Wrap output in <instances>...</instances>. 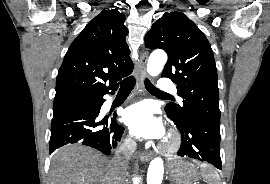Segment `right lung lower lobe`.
Returning <instances> with one entry per match:
<instances>
[{"label": "right lung lower lobe", "mask_w": 270, "mask_h": 184, "mask_svg": "<svg viewBox=\"0 0 270 184\" xmlns=\"http://www.w3.org/2000/svg\"><path fill=\"white\" fill-rule=\"evenodd\" d=\"M106 93L109 91L54 99L50 154L69 143L90 146L106 155L111 153L120 141L124 128L118 125L116 117L109 122L107 117H99Z\"/></svg>", "instance_id": "right-lung-lower-lobe-1"}]
</instances>
